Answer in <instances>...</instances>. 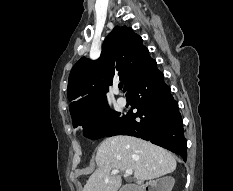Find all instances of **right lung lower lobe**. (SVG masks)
Returning <instances> with one entry per match:
<instances>
[{"mask_svg": "<svg viewBox=\"0 0 233 191\" xmlns=\"http://www.w3.org/2000/svg\"><path fill=\"white\" fill-rule=\"evenodd\" d=\"M163 78L156 61L149 57L127 90L135 100L132 109L138 111H129L106 136L140 137L175 152L186 161V139L178 103ZM137 117L140 121L135 120Z\"/></svg>", "mask_w": 233, "mask_h": 191, "instance_id": "right-lung-lower-lobe-1", "label": "right lung lower lobe"}]
</instances>
